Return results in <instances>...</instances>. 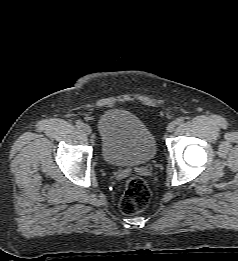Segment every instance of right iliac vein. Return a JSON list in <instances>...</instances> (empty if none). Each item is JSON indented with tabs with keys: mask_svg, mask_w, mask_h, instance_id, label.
Here are the masks:
<instances>
[{
	"mask_svg": "<svg viewBox=\"0 0 238 261\" xmlns=\"http://www.w3.org/2000/svg\"><path fill=\"white\" fill-rule=\"evenodd\" d=\"M83 131L86 133V134H90L92 132V129L91 127L88 125V124H84L83 125Z\"/></svg>",
	"mask_w": 238,
	"mask_h": 261,
	"instance_id": "63e3f726",
	"label": "right iliac vein"
}]
</instances>
